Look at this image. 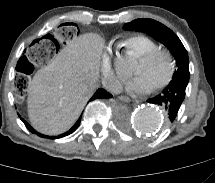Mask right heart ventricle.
<instances>
[{
  "instance_id": "1",
  "label": "right heart ventricle",
  "mask_w": 215,
  "mask_h": 183,
  "mask_svg": "<svg viewBox=\"0 0 215 183\" xmlns=\"http://www.w3.org/2000/svg\"><path fill=\"white\" fill-rule=\"evenodd\" d=\"M122 46L137 56H140L150 50L158 47V44L151 37L144 34H133L125 38Z\"/></svg>"
}]
</instances>
